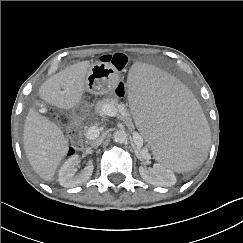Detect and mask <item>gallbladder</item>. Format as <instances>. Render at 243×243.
I'll use <instances>...</instances> for the list:
<instances>
[{"label": "gallbladder", "mask_w": 243, "mask_h": 243, "mask_svg": "<svg viewBox=\"0 0 243 243\" xmlns=\"http://www.w3.org/2000/svg\"><path fill=\"white\" fill-rule=\"evenodd\" d=\"M49 108H53V106L51 104H44V102L41 101H36L33 105V109L36 112H40V113H44V115H46V111Z\"/></svg>", "instance_id": "bac80fb5"}]
</instances>
